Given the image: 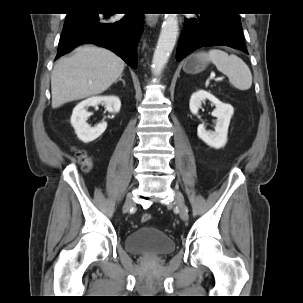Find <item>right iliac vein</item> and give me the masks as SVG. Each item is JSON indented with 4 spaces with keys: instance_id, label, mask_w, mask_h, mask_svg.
I'll list each match as a JSON object with an SVG mask.
<instances>
[{
    "instance_id": "obj_1",
    "label": "right iliac vein",
    "mask_w": 303,
    "mask_h": 303,
    "mask_svg": "<svg viewBox=\"0 0 303 303\" xmlns=\"http://www.w3.org/2000/svg\"><path fill=\"white\" fill-rule=\"evenodd\" d=\"M133 205V197L131 194L127 195L124 207H123V212H127L129 211V209L132 207Z\"/></svg>"
}]
</instances>
